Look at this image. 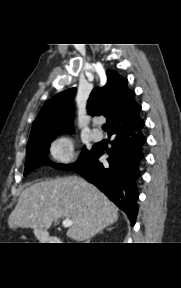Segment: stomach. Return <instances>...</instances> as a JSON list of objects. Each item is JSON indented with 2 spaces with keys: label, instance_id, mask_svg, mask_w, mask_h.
I'll return each mask as SVG.
<instances>
[{
  "label": "stomach",
  "instance_id": "1",
  "mask_svg": "<svg viewBox=\"0 0 181 288\" xmlns=\"http://www.w3.org/2000/svg\"><path fill=\"white\" fill-rule=\"evenodd\" d=\"M35 235L37 236L38 239H40V240L43 241V239H42V235L45 237L47 234H44V233H38V232L35 231Z\"/></svg>",
  "mask_w": 181,
  "mask_h": 288
}]
</instances>
